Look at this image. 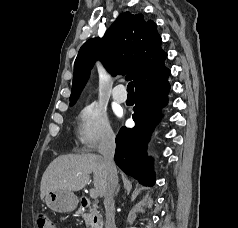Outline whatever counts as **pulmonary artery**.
<instances>
[{
    "instance_id": "pulmonary-artery-1",
    "label": "pulmonary artery",
    "mask_w": 238,
    "mask_h": 228,
    "mask_svg": "<svg viewBox=\"0 0 238 228\" xmlns=\"http://www.w3.org/2000/svg\"><path fill=\"white\" fill-rule=\"evenodd\" d=\"M112 96L116 102L124 103L127 99V94L125 93V87L122 84L115 86L112 91Z\"/></svg>"
}]
</instances>
